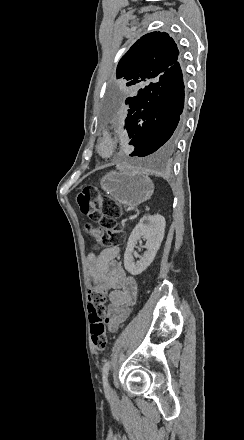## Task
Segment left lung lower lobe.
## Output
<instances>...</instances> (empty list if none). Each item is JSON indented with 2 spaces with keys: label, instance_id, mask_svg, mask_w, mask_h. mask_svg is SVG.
<instances>
[{
  "label": "left lung lower lobe",
  "instance_id": "0a47b994",
  "mask_svg": "<svg viewBox=\"0 0 244 440\" xmlns=\"http://www.w3.org/2000/svg\"><path fill=\"white\" fill-rule=\"evenodd\" d=\"M122 103L130 106L125 120L132 138L129 144L135 147L130 156L172 150L184 129V83L179 62L118 105Z\"/></svg>",
  "mask_w": 244,
  "mask_h": 440
}]
</instances>
